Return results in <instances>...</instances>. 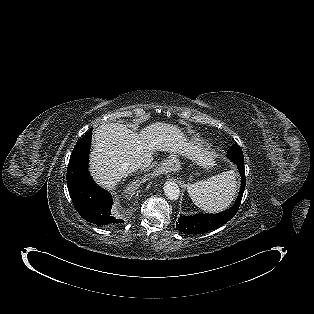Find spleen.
Here are the masks:
<instances>
[{"label": "spleen", "instance_id": "1", "mask_svg": "<svg viewBox=\"0 0 314 314\" xmlns=\"http://www.w3.org/2000/svg\"><path fill=\"white\" fill-rule=\"evenodd\" d=\"M188 193L194 204L206 212L226 209L232 202L236 190V173L231 170L188 185Z\"/></svg>", "mask_w": 314, "mask_h": 314}]
</instances>
